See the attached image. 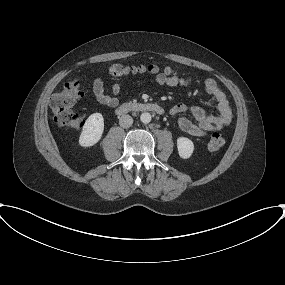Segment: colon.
<instances>
[{
  "mask_svg": "<svg viewBox=\"0 0 285 285\" xmlns=\"http://www.w3.org/2000/svg\"><path fill=\"white\" fill-rule=\"evenodd\" d=\"M109 73L114 78H121L130 74L150 73L173 76L174 71L168 67L160 68L156 65L129 67L120 64H115L109 69ZM84 91L78 81H71L64 85L63 89L52 95L50 99V107L53 112L54 121L64 129H79L83 125L82 117L74 110L75 103L83 98ZM225 144L224 138L214 133L208 142V147L211 150H218Z\"/></svg>",
  "mask_w": 285,
  "mask_h": 285,
  "instance_id": "1",
  "label": "colon"
}]
</instances>
